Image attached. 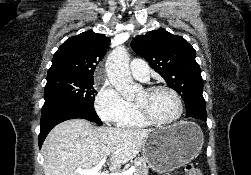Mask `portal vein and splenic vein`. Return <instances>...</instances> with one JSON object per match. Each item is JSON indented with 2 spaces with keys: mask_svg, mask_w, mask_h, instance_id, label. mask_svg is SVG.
<instances>
[{
  "mask_svg": "<svg viewBox=\"0 0 251 175\" xmlns=\"http://www.w3.org/2000/svg\"><path fill=\"white\" fill-rule=\"evenodd\" d=\"M106 159L107 157H102L98 165H96V167H91V169H74V171L75 173H82V175H132V173L135 171L134 165H131V167L126 169V171H110V173H106V171H100Z\"/></svg>",
  "mask_w": 251,
  "mask_h": 175,
  "instance_id": "portal-vein-and-splenic-vein-1",
  "label": "portal vein and splenic vein"
}]
</instances>
